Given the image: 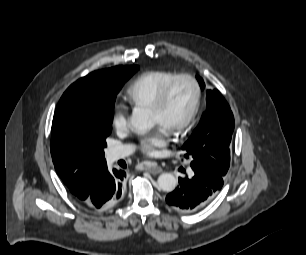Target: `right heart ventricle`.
Here are the masks:
<instances>
[{
    "instance_id": "1",
    "label": "right heart ventricle",
    "mask_w": 306,
    "mask_h": 255,
    "mask_svg": "<svg viewBox=\"0 0 306 255\" xmlns=\"http://www.w3.org/2000/svg\"><path fill=\"white\" fill-rule=\"evenodd\" d=\"M178 73L168 70H149L141 73L129 85L127 93L135 107H149L158 93Z\"/></svg>"
}]
</instances>
